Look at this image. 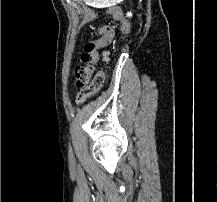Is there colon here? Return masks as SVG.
Listing matches in <instances>:
<instances>
[{"label": "colon", "instance_id": "1", "mask_svg": "<svg viewBox=\"0 0 217 202\" xmlns=\"http://www.w3.org/2000/svg\"><path fill=\"white\" fill-rule=\"evenodd\" d=\"M116 20L119 21L118 29L121 34H126L129 31V25L127 22L123 21L120 16L116 17ZM100 39L89 40L87 41L81 51V60L83 65L77 67L74 72L76 85L83 86V89L77 94L76 101L81 104L84 103L87 99L94 96L102 87L104 82V74L102 71L94 73L93 64L96 62V52L99 46H106L114 32L113 29L104 25L99 28ZM94 73L95 79L90 83V86H87V81L91 73Z\"/></svg>", "mask_w": 217, "mask_h": 202}]
</instances>
